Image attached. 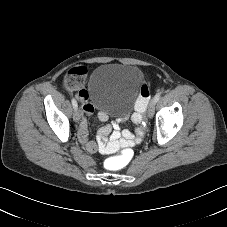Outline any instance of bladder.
<instances>
[{
    "label": "bladder",
    "instance_id": "bladder-1",
    "mask_svg": "<svg viewBox=\"0 0 227 227\" xmlns=\"http://www.w3.org/2000/svg\"><path fill=\"white\" fill-rule=\"evenodd\" d=\"M141 71L133 65L104 63L96 68L87 92L92 104L118 118L128 114L140 92Z\"/></svg>",
    "mask_w": 227,
    "mask_h": 227
}]
</instances>
